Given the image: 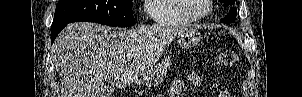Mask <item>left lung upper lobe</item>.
Returning <instances> with one entry per match:
<instances>
[{"mask_svg":"<svg viewBox=\"0 0 302 97\" xmlns=\"http://www.w3.org/2000/svg\"><path fill=\"white\" fill-rule=\"evenodd\" d=\"M221 2L225 3V4H230L233 5L234 1L233 0H220ZM236 20V8H232L229 12V14L227 15V17H225L224 19H221L222 22H226V23H231L233 21Z\"/></svg>","mask_w":302,"mask_h":97,"instance_id":"1","label":"left lung upper lobe"}]
</instances>
